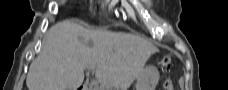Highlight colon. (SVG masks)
<instances>
[{
  "instance_id": "1",
  "label": "colon",
  "mask_w": 228,
  "mask_h": 90,
  "mask_svg": "<svg viewBox=\"0 0 228 90\" xmlns=\"http://www.w3.org/2000/svg\"><path fill=\"white\" fill-rule=\"evenodd\" d=\"M171 63H172L171 56L167 55V56L163 57V59L161 60V67L163 69H168L171 66ZM163 89L164 90H174L173 83L169 78H167L164 81Z\"/></svg>"
}]
</instances>
